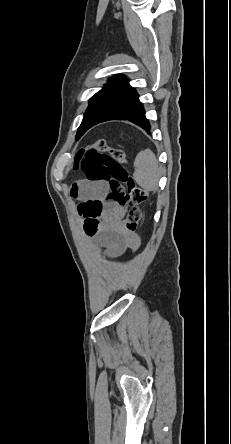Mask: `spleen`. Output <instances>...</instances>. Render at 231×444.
<instances>
[{"instance_id": "3e777b00", "label": "spleen", "mask_w": 231, "mask_h": 444, "mask_svg": "<svg viewBox=\"0 0 231 444\" xmlns=\"http://www.w3.org/2000/svg\"><path fill=\"white\" fill-rule=\"evenodd\" d=\"M133 178L148 191H156L160 178V168L155 154L150 149L140 151L134 161Z\"/></svg>"}]
</instances>
